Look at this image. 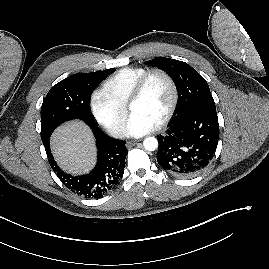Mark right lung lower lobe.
I'll use <instances>...</instances> for the list:
<instances>
[{
    "instance_id": "98d812e1",
    "label": "right lung lower lobe",
    "mask_w": 269,
    "mask_h": 269,
    "mask_svg": "<svg viewBox=\"0 0 269 269\" xmlns=\"http://www.w3.org/2000/svg\"><path fill=\"white\" fill-rule=\"evenodd\" d=\"M90 127L96 138L98 161L89 174L72 176L64 173L54 161L49 147V139L43 144L49 163L62 183L78 195L98 199L113 189L123 176L128 150L124 141L106 136L98 129V126Z\"/></svg>"
}]
</instances>
